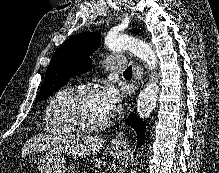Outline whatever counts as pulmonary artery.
I'll use <instances>...</instances> for the list:
<instances>
[{
  "instance_id": "obj_1",
  "label": "pulmonary artery",
  "mask_w": 219,
  "mask_h": 173,
  "mask_svg": "<svg viewBox=\"0 0 219 173\" xmlns=\"http://www.w3.org/2000/svg\"><path fill=\"white\" fill-rule=\"evenodd\" d=\"M104 68L108 71H123L126 69V59L121 56H108L104 60Z\"/></svg>"
}]
</instances>
